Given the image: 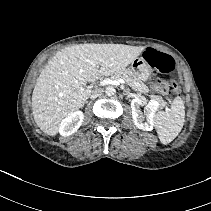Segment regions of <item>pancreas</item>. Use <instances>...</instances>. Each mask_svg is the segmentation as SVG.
<instances>
[{
  "instance_id": "pancreas-1",
  "label": "pancreas",
  "mask_w": 211,
  "mask_h": 211,
  "mask_svg": "<svg viewBox=\"0 0 211 211\" xmlns=\"http://www.w3.org/2000/svg\"><path fill=\"white\" fill-rule=\"evenodd\" d=\"M113 79H123L125 82L135 91L139 93H147L149 91L148 87L138 80L132 71L125 69L121 72L115 73ZM151 99L159 104L160 107H164L166 102L160 96L151 95Z\"/></svg>"
}]
</instances>
